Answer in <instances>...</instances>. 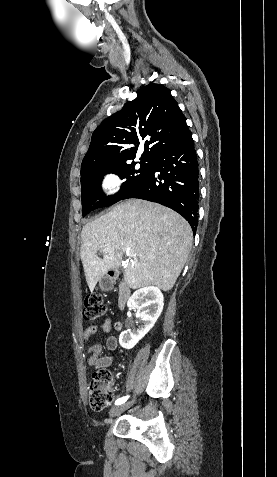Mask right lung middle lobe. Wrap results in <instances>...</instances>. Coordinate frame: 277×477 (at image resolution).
<instances>
[{"label":"right lung middle lobe","instance_id":"1","mask_svg":"<svg viewBox=\"0 0 277 477\" xmlns=\"http://www.w3.org/2000/svg\"><path fill=\"white\" fill-rule=\"evenodd\" d=\"M149 160H141L140 167L136 163H124L110 167H91L81 171L82 214L87 215L90 211L112 205L124 198L130 191L136 188L150 170ZM115 173L121 179H125L118 193L110 197H104L101 189L103 176Z\"/></svg>","mask_w":277,"mask_h":477}]
</instances>
